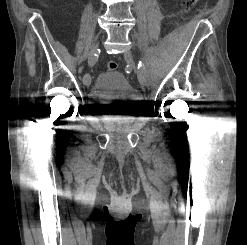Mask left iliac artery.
<instances>
[{
    "label": "left iliac artery",
    "instance_id": "44dca946",
    "mask_svg": "<svg viewBox=\"0 0 247 245\" xmlns=\"http://www.w3.org/2000/svg\"><path fill=\"white\" fill-rule=\"evenodd\" d=\"M132 45H137V40H132ZM138 70L140 73H144L146 71L145 66L141 61L138 64Z\"/></svg>",
    "mask_w": 247,
    "mask_h": 245
}]
</instances>
